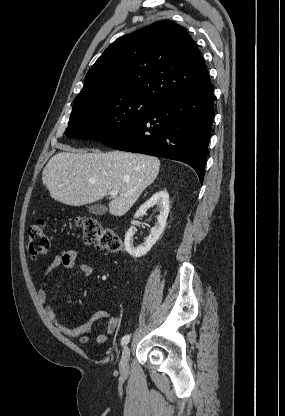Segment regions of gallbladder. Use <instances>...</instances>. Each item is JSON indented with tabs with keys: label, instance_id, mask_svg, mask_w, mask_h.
I'll return each mask as SVG.
<instances>
[{
	"label": "gallbladder",
	"instance_id": "obj_1",
	"mask_svg": "<svg viewBox=\"0 0 285 416\" xmlns=\"http://www.w3.org/2000/svg\"><path fill=\"white\" fill-rule=\"evenodd\" d=\"M88 212L95 214V216H103V214H106L107 208L102 206V204H94V206H89Z\"/></svg>",
	"mask_w": 285,
	"mask_h": 416
}]
</instances>
